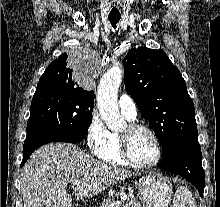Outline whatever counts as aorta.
Here are the masks:
<instances>
[{
	"label": "aorta",
	"instance_id": "762f6f07",
	"mask_svg": "<svg viewBox=\"0 0 220 207\" xmlns=\"http://www.w3.org/2000/svg\"><path fill=\"white\" fill-rule=\"evenodd\" d=\"M123 77V69L115 65L101 78L97 89V107L102 119L110 130L123 127L124 119L119 113L118 89Z\"/></svg>",
	"mask_w": 220,
	"mask_h": 207
}]
</instances>
